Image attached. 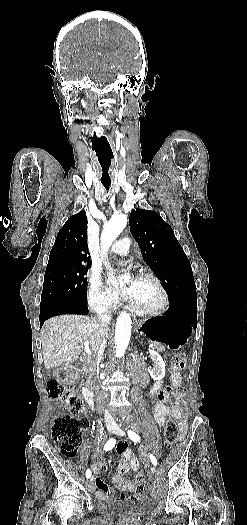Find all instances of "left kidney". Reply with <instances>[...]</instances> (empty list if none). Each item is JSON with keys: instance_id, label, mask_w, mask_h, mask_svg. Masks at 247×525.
Listing matches in <instances>:
<instances>
[{"instance_id": "5707ae66", "label": "left kidney", "mask_w": 247, "mask_h": 525, "mask_svg": "<svg viewBox=\"0 0 247 525\" xmlns=\"http://www.w3.org/2000/svg\"><path fill=\"white\" fill-rule=\"evenodd\" d=\"M149 353L153 361L156 363V369H154V371H150V375H153V377H155V375L156 377H162V375H165V363L162 357H160L156 351H151V349H149Z\"/></svg>"}]
</instances>
